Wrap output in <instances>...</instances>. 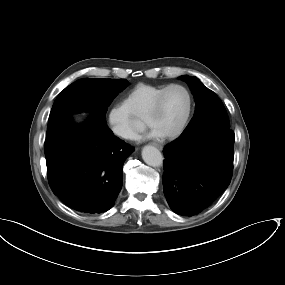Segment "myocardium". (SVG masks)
<instances>
[{
    "label": "myocardium",
    "mask_w": 285,
    "mask_h": 285,
    "mask_svg": "<svg viewBox=\"0 0 285 285\" xmlns=\"http://www.w3.org/2000/svg\"><path fill=\"white\" fill-rule=\"evenodd\" d=\"M173 87H178V88H181L184 90V92L187 95V108H186L185 114H184L181 122L179 123L178 127L173 132L158 135L162 139H174V138H177L178 136H180L183 133V131L185 130V128L189 122V119H190V116L192 113V109H193V99H192V95H191L190 90L186 86H184L183 84L170 83V84L166 85L158 93V95L154 99L153 103L149 107L148 111L146 112V114L144 116V120H145L146 124H148L151 127V125L149 123V119L160 110L161 105H162V101H163V98H164L166 92Z\"/></svg>",
    "instance_id": "1"
}]
</instances>
